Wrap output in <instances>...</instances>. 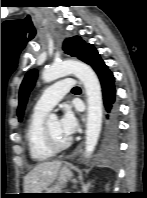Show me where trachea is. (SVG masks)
<instances>
[{"instance_id":"3493384b","label":"trachea","mask_w":147,"mask_h":198,"mask_svg":"<svg viewBox=\"0 0 147 198\" xmlns=\"http://www.w3.org/2000/svg\"><path fill=\"white\" fill-rule=\"evenodd\" d=\"M78 90H80L79 87H74V88L72 89V91H78Z\"/></svg>"}]
</instances>
